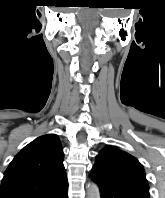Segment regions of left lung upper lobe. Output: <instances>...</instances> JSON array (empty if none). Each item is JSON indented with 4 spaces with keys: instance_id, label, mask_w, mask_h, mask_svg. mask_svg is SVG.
Returning a JSON list of instances; mask_svg holds the SVG:
<instances>
[{
    "instance_id": "1",
    "label": "left lung upper lobe",
    "mask_w": 165,
    "mask_h": 198,
    "mask_svg": "<svg viewBox=\"0 0 165 198\" xmlns=\"http://www.w3.org/2000/svg\"><path fill=\"white\" fill-rule=\"evenodd\" d=\"M93 174L117 189L138 198H149V186L141 163L114 146H107L96 157Z\"/></svg>"
}]
</instances>
